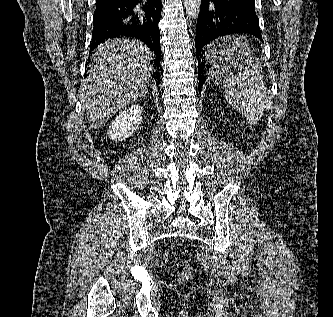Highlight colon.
Returning <instances> with one entry per match:
<instances>
[{
  "label": "colon",
  "instance_id": "obj_1",
  "mask_svg": "<svg viewBox=\"0 0 333 317\" xmlns=\"http://www.w3.org/2000/svg\"><path fill=\"white\" fill-rule=\"evenodd\" d=\"M191 268L188 263H184L183 265V272L180 277V281L182 283L187 282L191 278Z\"/></svg>",
  "mask_w": 333,
  "mask_h": 317
}]
</instances>
